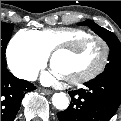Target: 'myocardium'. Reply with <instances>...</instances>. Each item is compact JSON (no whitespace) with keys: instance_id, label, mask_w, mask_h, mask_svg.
I'll return each mask as SVG.
<instances>
[{"instance_id":"1","label":"myocardium","mask_w":121,"mask_h":121,"mask_svg":"<svg viewBox=\"0 0 121 121\" xmlns=\"http://www.w3.org/2000/svg\"><path fill=\"white\" fill-rule=\"evenodd\" d=\"M91 40L98 41L103 48V54H102L101 62L93 70H91V71H89V72H87L83 75H80V76H77V77H72V78H65L67 83L74 84V85L85 83V82L97 77L99 74H101L103 72V70L106 68V66L108 64V60H109L110 47H109L108 42L100 35H86V36L79 38L78 40H76L75 42H73L69 45L56 46L50 52L49 63L52 66L53 59L57 54L66 53V54H69V55H73V54H75V50L78 47L83 46L86 42L91 41Z\"/></svg>"}]
</instances>
